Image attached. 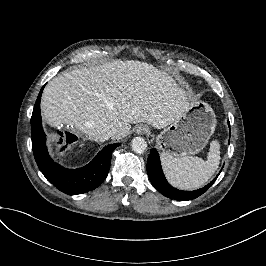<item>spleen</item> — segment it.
Returning <instances> with one entry per match:
<instances>
[{
    "instance_id": "spleen-1",
    "label": "spleen",
    "mask_w": 266,
    "mask_h": 266,
    "mask_svg": "<svg viewBox=\"0 0 266 266\" xmlns=\"http://www.w3.org/2000/svg\"><path fill=\"white\" fill-rule=\"evenodd\" d=\"M208 159L197 156L176 157L162 152V163L169 181L178 188L195 189L201 187L217 170L220 152L216 140L210 144Z\"/></svg>"
}]
</instances>
